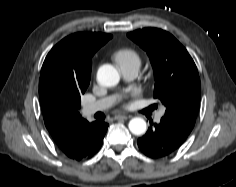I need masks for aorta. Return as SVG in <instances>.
<instances>
[{
    "mask_svg": "<svg viewBox=\"0 0 236 187\" xmlns=\"http://www.w3.org/2000/svg\"><path fill=\"white\" fill-rule=\"evenodd\" d=\"M97 81L102 86L113 87L119 83L120 75L112 65L105 64L98 69ZM146 129V122L140 117H135L129 122V130L134 135H142Z\"/></svg>",
    "mask_w": 236,
    "mask_h": 187,
    "instance_id": "1",
    "label": "aorta"
}]
</instances>
